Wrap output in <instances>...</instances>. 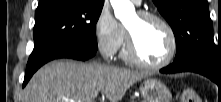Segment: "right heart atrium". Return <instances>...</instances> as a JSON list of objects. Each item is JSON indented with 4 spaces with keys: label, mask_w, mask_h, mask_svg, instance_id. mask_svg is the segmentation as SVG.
I'll list each match as a JSON object with an SVG mask.
<instances>
[{
    "label": "right heart atrium",
    "mask_w": 221,
    "mask_h": 102,
    "mask_svg": "<svg viewBox=\"0 0 221 102\" xmlns=\"http://www.w3.org/2000/svg\"><path fill=\"white\" fill-rule=\"evenodd\" d=\"M94 32L98 49L107 57L114 56L125 39L122 25L107 8L100 11L95 21Z\"/></svg>",
    "instance_id": "obj_1"
}]
</instances>
